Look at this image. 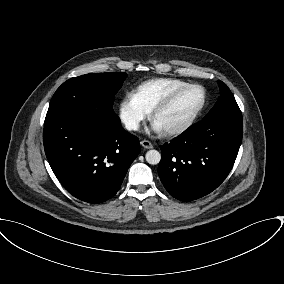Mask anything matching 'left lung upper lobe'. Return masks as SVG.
Returning a JSON list of instances; mask_svg holds the SVG:
<instances>
[{"mask_svg":"<svg viewBox=\"0 0 284 284\" xmlns=\"http://www.w3.org/2000/svg\"><path fill=\"white\" fill-rule=\"evenodd\" d=\"M218 83L220 87V97L203 120L221 116L242 117L241 111L230 89L222 81Z\"/></svg>","mask_w":284,"mask_h":284,"instance_id":"1","label":"left lung upper lobe"}]
</instances>
